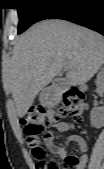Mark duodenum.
Wrapping results in <instances>:
<instances>
[{"label":"duodenum","mask_w":104,"mask_h":169,"mask_svg":"<svg viewBox=\"0 0 104 169\" xmlns=\"http://www.w3.org/2000/svg\"><path fill=\"white\" fill-rule=\"evenodd\" d=\"M81 88H82V89H84V90L86 89V87H85V86H81Z\"/></svg>","instance_id":"410a0bca"}]
</instances>
